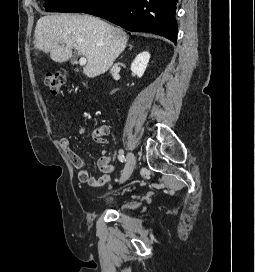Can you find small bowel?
Returning <instances> with one entry per match:
<instances>
[{
    "label": "small bowel",
    "mask_w": 255,
    "mask_h": 272,
    "mask_svg": "<svg viewBox=\"0 0 255 272\" xmlns=\"http://www.w3.org/2000/svg\"><path fill=\"white\" fill-rule=\"evenodd\" d=\"M77 134L81 136L82 140L89 148L94 149L91 141L86 134V130L84 127H79L77 129ZM60 146L70 163L79 170L78 179L81 183H85L92 187H100L110 181L111 174L115 170V166L112 164L113 155L111 151H98L100 157L98 159L97 165L99 170L103 172V175L99 178H94L90 175V172L86 167L85 161L72 149L69 138H62L60 140Z\"/></svg>",
    "instance_id": "small-bowel-1"
}]
</instances>
